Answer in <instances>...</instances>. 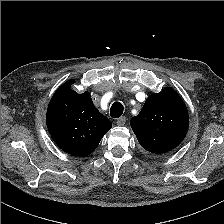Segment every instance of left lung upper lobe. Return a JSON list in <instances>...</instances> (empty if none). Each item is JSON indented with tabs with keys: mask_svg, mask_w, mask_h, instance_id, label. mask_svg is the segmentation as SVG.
<instances>
[{
	"mask_svg": "<svg viewBox=\"0 0 224 224\" xmlns=\"http://www.w3.org/2000/svg\"><path fill=\"white\" fill-rule=\"evenodd\" d=\"M130 124L145 150L162 154L183 141L188 130L189 115L181 97L172 88H165L147 98Z\"/></svg>",
	"mask_w": 224,
	"mask_h": 224,
	"instance_id": "5c2ea615",
	"label": "left lung upper lobe"
}]
</instances>
